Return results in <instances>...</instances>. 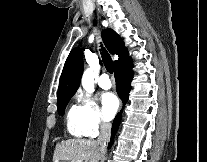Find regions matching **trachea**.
<instances>
[{"mask_svg": "<svg viewBox=\"0 0 207 162\" xmlns=\"http://www.w3.org/2000/svg\"><path fill=\"white\" fill-rule=\"evenodd\" d=\"M100 51H101V54H102V58H103L105 68L107 69V71L109 73H113V61H112L109 53L102 46H101Z\"/></svg>", "mask_w": 207, "mask_h": 162, "instance_id": "obj_1", "label": "trachea"}]
</instances>
